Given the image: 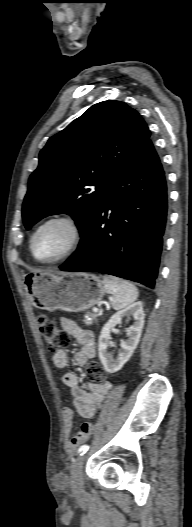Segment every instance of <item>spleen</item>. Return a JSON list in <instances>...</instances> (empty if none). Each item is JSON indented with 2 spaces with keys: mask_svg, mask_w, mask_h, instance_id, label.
Instances as JSON below:
<instances>
[{
  "mask_svg": "<svg viewBox=\"0 0 192 527\" xmlns=\"http://www.w3.org/2000/svg\"><path fill=\"white\" fill-rule=\"evenodd\" d=\"M104 289L111 294V304L113 309H123L137 300L138 289L129 281L105 275L103 277Z\"/></svg>",
  "mask_w": 192,
  "mask_h": 527,
  "instance_id": "1",
  "label": "spleen"
}]
</instances>
